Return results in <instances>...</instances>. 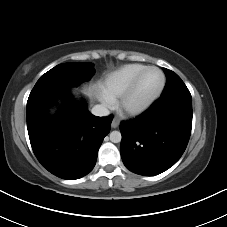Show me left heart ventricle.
<instances>
[{
  "label": "left heart ventricle",
  "instance_id": "obj_1",
  "mask_svg": "<svg viewBox=\"0 0 227 227\" xmlns=\"http://www.w3.org/2000/svg\"><path fill=\"white\" fill-rule=\"evenodd\" d=\"M161 74L157 70H149L142 77L132 101L139 103L152 96L160 87Z\"/></svg>",
  "mask_w": 227,
  "mask_h": 227
}]
</instances>
